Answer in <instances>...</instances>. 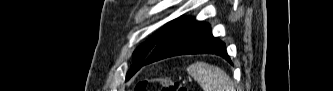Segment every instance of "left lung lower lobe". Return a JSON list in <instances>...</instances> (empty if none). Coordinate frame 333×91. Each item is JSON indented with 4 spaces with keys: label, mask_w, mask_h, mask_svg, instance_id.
<instances>
[{
    "label": "left lung lower lobe",
    "mask_w": 333,
    "mask_h": 91,
    "mask_svg": "<svg viewBox=\"0 0 333 91\" xmlns=\"http://www.w3.org/2000/svg\"><path fill=\"white\" fill-rule=\"evenodd\" d=\"M184 54H216L231 63L225 44L212 36L208 23L197 22L192 17H182L165 33L140 68L164 58Z\"/></svg>",
    "instance_id": "0a47b994"
}]
</instances>
